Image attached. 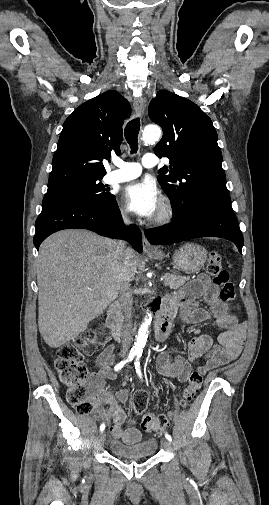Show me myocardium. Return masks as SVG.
Segmentation results:
<instances>
[{"label": "myocardium", "mask_w": 269, "mask_h": 505, "mask_svg": "<svg viewBox=\"0 0 269 505\" xmlns=\"http://www.w3.org/2000/svg\"><path fill=\"white\" fill-rule=\"evenodd\" d=\"M175 214L174 207L168 199H164L161 203L158 213L153 219L155 224H166L170 222Z\"/></svg>", "instance_id": "obj_1"}]
</instances>
